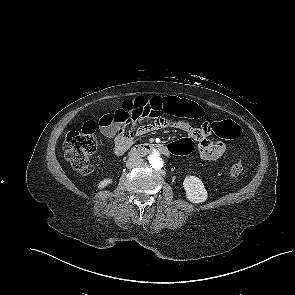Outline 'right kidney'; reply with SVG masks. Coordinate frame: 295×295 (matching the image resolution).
<instances>
[{"label":"right kidney","mask_w":295,"mask_h":295,"mask_svg":"<svg viewBox=\"0 0 295 295\" xmlns=\"http://www.w3.org/2000/svg\"><path fill=\"white\" fill-rule=\"evenodd\" d=\"M111 183H112L111 178H105L102 181H100V183L98 184V188L103 189V188H105L107 185H109Z\"/></svg>","instance_id":"ca27d5eb"}]
</instances>
